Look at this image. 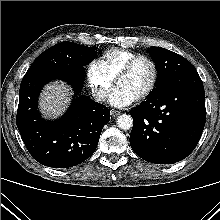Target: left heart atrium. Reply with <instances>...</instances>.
Here are the masks:
<instances>
[{"mask_svg":"<svg viewBox=\"0 0 220 220\" xmlns=\"http://www.w3.org/2000/svg\"><path fill=\"white\" fill-rule=\"evenodd\" d=\"M136 97L127 89L117 86L110 94L109 101L115 107H125L132 104Z\"/></svg>","mask_w":220,"mask_h":220,"instance_id":"left-heart-atrium-1","label":"left heart atrium"}]
</instances>
